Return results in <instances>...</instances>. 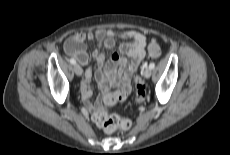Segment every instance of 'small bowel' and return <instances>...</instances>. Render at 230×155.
I'll use <instances>...</instances> for the list:
<instances>
[{"mask_svg":"<svg viewBox=\"0 0 230 155\" xmlns=\"http://www.w3.org/2000/svg\"><path fill=\"white\" fill-rule=\"evenodd\" d=\"M116 39L123 41L120 51L128 58L113 53L109 62L105 64L104 51L114 48ZM85 41L98 42V48L93 51L92 57L98 64L95 77L102 95L95 102L90 101L92 94L90 80L93 75L90 67L87 68L81 85V98L84 105L88 111L94 112L103 105L110 106L121 102L129 95L132 89V77L138 71L146 54L147 39L143 33L134 30L114 32L100 29L89 33L74 34L66 41L65 52L83 66L88 62V55L82 46ZM112 88L116 90L111 91Z\"/></svg>","mask_w":230,"mask_h":155,"instance_id":"obj_1","label":"small bowel"}]
</instances>
